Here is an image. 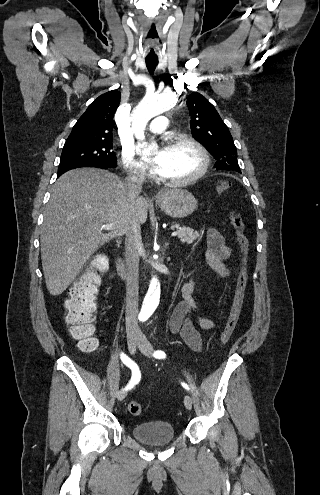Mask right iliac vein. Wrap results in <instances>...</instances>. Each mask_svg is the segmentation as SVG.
<instances>
[{"label":"right iliac vein","mask_w":320,"mask_h":495,"mask_svg":"<svg viewBox=\"0 0 320 495\" xmlns=\"http://www.w3.org/2000/svg\"><path fill=\"white\" fill-rule=\"evenodd\" d=\"M127 344H128V349L130 351L131 354H135L136 352V345H137V336L132 333V332H128L127 333ZM126 390H121L117 393V399L119 401H122L125 399L126 397Z\"/></svg>","instance_id":"63e3f726"}]
</instances>
